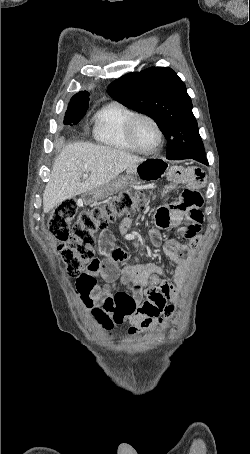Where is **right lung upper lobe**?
Instances as JSON below:
<instances>
[{
  "mask_svg": "<svg viewBox=\"0 0 250 454\" xmlns=\"http://www.w3.org/2000/svg\"><path fill=\"white\" fill-rule=\"evenodd\" d=\"M88 101H89V93L86 91H81L72 97L69 105L85 103Z\"/></svg>",
  "mask_w": 250,
  "mask_h": 454,
  "instance_id": "right-lung-upper-lobe-1",
  "label": "right lung upper lobe"
}]
</instances>
